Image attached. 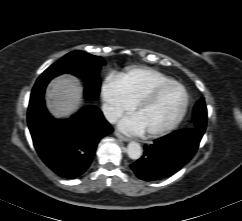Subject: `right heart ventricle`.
Segmentation results:
<instances>
[{
	"label": "right heart ventricle",
	"instance_id": "1",
	"mask_svg": "<svg viewBox=\"0 0 242 221\" xmlns=\"http://www.w3.org/2000/svg\"><path fill=\"white\" fill-rule=\"evenodd\" d=\"M115 79L133 105L157 85L173 81L168 76L148 68H133Z\"/></svg>",
	"mask_w": 242,
	"mask_h": 221
}]
</instances>
